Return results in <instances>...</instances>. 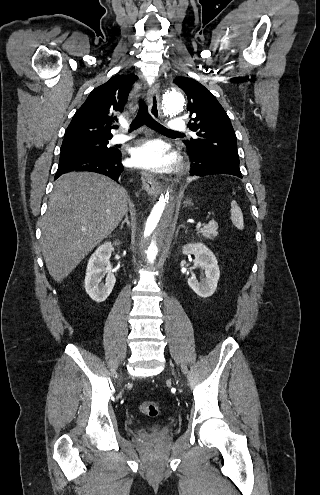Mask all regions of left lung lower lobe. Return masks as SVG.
<instances>
[{
	"instance_id": "1",
	"label": "left lung lower lobe",
	"mask_w": 320,
	"mask_h": 495,
	"mask_svg": "<svg viewBox=\"0 0 320 495\" xmlns=\"http://www.w3.org/2000/svg\"><path fill=\"white\" fill-rule=\"evenodd\" d=\"M189 157L192 161V168L190 169L192 176L229 174L242 178L239 166L214 162L211 158L200 153H189Z\"/></svg>"
}]
</instances>
